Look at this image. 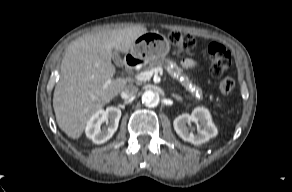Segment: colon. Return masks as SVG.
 I'll list each match as a JSON object with an SVG mask.
<instances>
[{
    "label": "colon",
    "mask_w": 292,
    "mask_h": 192,
    "mask_svg": "<svg viewBox=\"0 0 292 192\" xmlns=\"http://www.w3.org/2000/svg\"><path fill=\"white\" fill-rule=\"evenodd\" d=\"M170 42L179 54L190 53L196 46V41L189 35L173 32L169 36ZM211 61V72L214 76L220 77L231 65V54L224 45L212 42L208 46ZM234 80L231 77H224L219 83V91L222 95H228L234 88Z\"/></svg>",
    "instance_id": "colon-1"
}]
</instances>
